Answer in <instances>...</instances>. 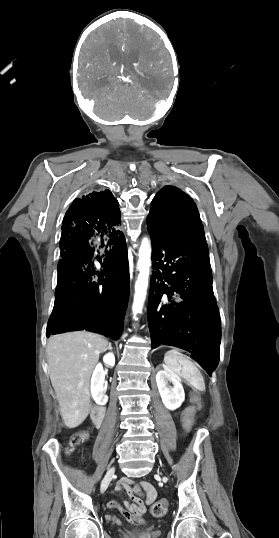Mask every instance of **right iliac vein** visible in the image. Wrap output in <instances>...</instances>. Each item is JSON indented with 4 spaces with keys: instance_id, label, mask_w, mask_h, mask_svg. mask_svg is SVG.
<instances>
[{
    "instance_id": "obj_1",
    "label": "right iliac vein",
    "mask_w": 279,
    "mask_h": 538,
    "mask_svg": "<svg viewBox=\"0 0 279 538\" xmlns=\"http://www.w3.org/2000/svg\"><path fill=\"white\" fill-rule=\"evenodd\" d=\"M114 472H115V468L112 467V468L109 469L108 472L106 473V475H105V477L103 478L102 483H101V487H100V491H101V493H104L105 490L107 489V487L109 486V483L111 482L112 477L114 476Z\"/></svg>"
}]
</instances>
